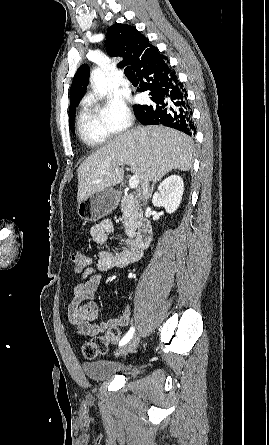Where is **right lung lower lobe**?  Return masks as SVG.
I'll return each instance as SVG.
<instances>
[{"instance_id":"right-lung-lower-lobe-1","label":"right lung lower lobe","mask_w":269,"mask_h":445,"mask_svg":"<svg viewBox=\"0 0 269 445\" xmlns=\"http://www.w3.org/2000/svg\"><path fill=\"white\" fill-rule=\"evenodd\" d=\"M166 60L161 55L136 72L140 80L137 91H149L153 101L147 105H134L136 118L143 125L162 124L195 135L187 92Z\"/></svg>"}]
</instances>
